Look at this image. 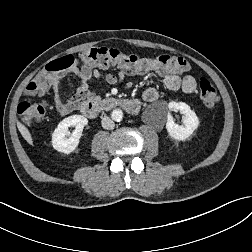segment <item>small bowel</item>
<instances>
[{
  "label": "small bowel",
  "instance_id": "obj_1",
  "mask_svg": "<svg viewBox=\"0 0 252 252\" xmlns=\"http://www.w3.org/2000/svg\"><path fill=\"white\" fill-rule=\"evenodd\" d=\"M72 73L80 80V84L76 87L75 93L72 97L65 99L59 92L58 83L59 79L67 74ZM164 85L170 91L181 90L186 94H191L196 90V80L191 75H185L183 77L172 74L163 73ZM125 74L120 72L118 75L107 73L102 75L97 69L90 66L75 64L65 71L54 83L53 89L55 92V108L61 115L69 114L81 107L86 101H95L98 99V94L90 89V82L93 79H102L109 85H117L124 79ZM159 93L154 88H148L143 93V99L147 102H154L158 99Z\"/></svg>",
  "mask_w": 252,
  "mask_h": 252
}]
</instances>
